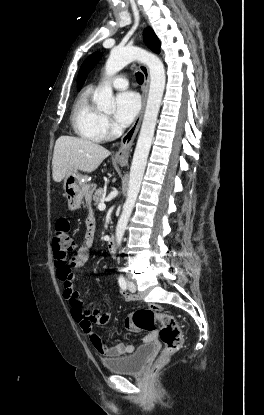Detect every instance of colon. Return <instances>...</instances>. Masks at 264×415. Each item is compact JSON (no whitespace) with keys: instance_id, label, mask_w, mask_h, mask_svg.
<instances>
[{"instance_id":"colon-1","label":"colon","mask_w":264,"mask_h":415,"mask_svg":"<svg viewBox=\"0 0 264 415\" xmlns=\"http://www.w3.org/2000/svg\"><path fill=\"white\" fill-rule=\"evenodd\" d=\"M70 231L68 218H59L56 222L53 238L55 254L59 259L66 258L74 249ZM130 319L134 325L143 329H154L157 323L162 325L160 338L164 344V350L161 358L156 363V372L166 362L168 356L182 346L183 338L179 324L172 315L162 312L156 306L138 310L131 315Z\"/></svg>"}]
</instances>
